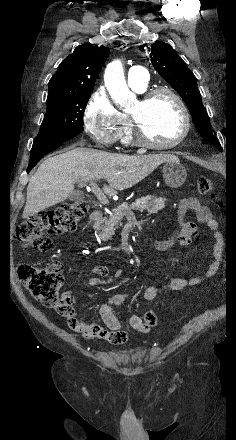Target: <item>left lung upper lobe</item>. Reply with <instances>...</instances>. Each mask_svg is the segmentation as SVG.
Instances as JSON below:
<instances>
[{
	"instance_id": "1",
	"label": "left lung upper lobe",
	"mask_w": 236,
	"mask_h": 440,
	"mask_svg": "<svg viewBox=\"0 0 236 440\" xmlns=\"http://www.w3.org/2000/svg\"><path fill=\"white\" fill-rule=\"evenodd\" d=\"M140 50L147 53V60L150 64L183 98L201 136H213L210 120L197 87L196 77L172 46L167 43L155 42L141 45Z\"/></svg>"
}]
</instances>
